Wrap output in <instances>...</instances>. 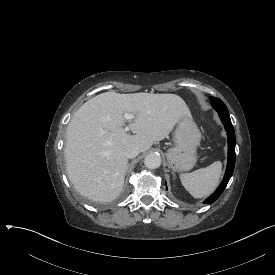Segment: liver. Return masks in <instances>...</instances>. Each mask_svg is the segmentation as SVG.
Instances as JSON below:
<instances>
[{
    "instance_id": "liver-1",
    "label": "liver",
    "mask_w": 275,
    "mask_h": 275,
    "mask_svg": "<svg viewBox=\"0 0 275 275\" xmlns=\"http://www.w3.org/2000/svg\"><path fill=\"white\" fill-rule=\"evenodd\" d=\"M134 114L129 135L124 113ZM189 113L175 94L101 93L86 101L67 128L65 148L69 180L80 195L109 202L122 191L128 169L124 148L135 144L141 152L167 137L179 118Z\"/></svg>"
}]
</instances>
